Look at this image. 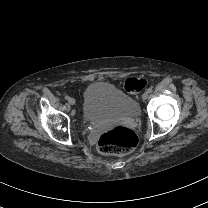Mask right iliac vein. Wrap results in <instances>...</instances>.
Returning a JSON list of instances; mask_svg holds the SVG:
<instances>
[{
	"label": "right iliac vein",
	"instance_id": "right-iliac-vein-1",
	"mask_svg": "<svg viewBox=\"0 0 208 208\" xmlns=\"http://www.w3.org/2000/svg\"><path fill=\"white\" fill-rule=\"evenodd\" d=\"M68 102H69L70 105H74L76 101H75L74 98H70V99L68 100Z\"/></svg>",
	"mask_w": 208,
	"mask_h": 208
}]
</instances>
